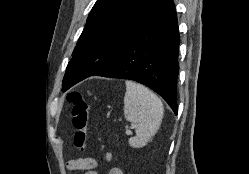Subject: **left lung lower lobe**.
Here are the masks:
<instances>
[{
	"mask_svg": "<svg viewBox=\"0 0 249 174\" xmlns=\"http://www.w3.org/2000/svg\"><path fill=\"white\" fill-rule=\"evenodd\" d=\"M179 43L174 2L166 0L121 51L92 76L122 78L142 83L158 93L177 114ZM82 80L75 81L73 85Z\"/></svg>",
	"mask_w": 249,
	"mask_h": 174,
	"instance_id": "0a47b994",
	"label": "left lung lower lobe"
}]
</instances>
